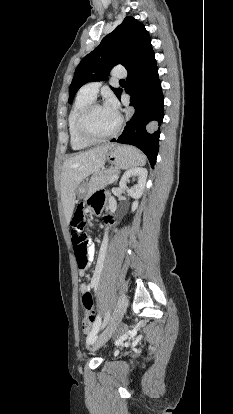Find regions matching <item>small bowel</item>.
<instances>
[{
    "instance_id": "obj_1",
    "label": "small bowel",
    "mask_w": 233,
    "mask_h": 414,
    "mask_svg": "<svg viewBox=\"0 0 233 414\" xmlns=\"http://www.w3.org/2000/svg\"><path fill=\"white\" fill-rule=\"evenodd\" d=\"M102 203H103V197L100 193H96L94 194L91 199H90V206L93 210L95 211H100L101 207H102ZM114 210V203L111 201L110 202V213L106 216V222L108 224H111L113 222L112 220V213ZM95 255V249L94 246L92 244L88 245V257H89V264L86 268H79V273L81 276H84L86 273L87 268L90 266L93 258ZM104 255L105 252L101 251L98 260H97V264H96V268L93 272V276L91 278V281L89 283H82L80 285V289L82 291V293L86 292V291H95L98 285V281L100 278V274L103 268V264H104ZM96 321L93 324V327L91 329V331L89 332L88 338L92 339L94 337V335L97 332V327H95Z\"/></svg>"
}]
</instances>
